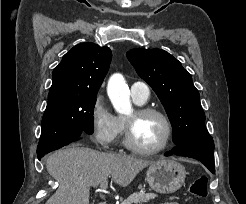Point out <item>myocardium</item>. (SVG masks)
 I'll return each mask as SVG.
<instances>
[{
  "label": "myocardium",
  "instance_id": "1",
  "mask_svg": "<svg viewBox=\"0 0 246 204\" xmlns=\"http://www.w3.org/2000/svg\"><path fill=\"white\" fill-rule=\"evenodd\" d=\"M135 114L138 117H143L147 115H157L159 116L166 126V135L163 142L155 148H144L138 145L134 140V122L125 118L124 127V144L131 151L142 154V155H154L165 150L171 142L173 136V125L170 118L163 111L154 107H140L135 110Z\"/></svg>",
  "mask_w": 246,
  "mask_h": 204
}]
</instances>
